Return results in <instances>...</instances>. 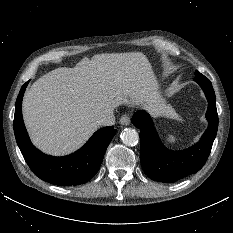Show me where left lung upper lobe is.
I'll return each instance as SVG.
<instances>
[{
    "label": "left lung upper lobe",
    "instance_id": "1",
    "mask_svg": "<svg viewBox=\"0 0 233 233\" xmlns=\"http://www.w3.org/2000/svg\"><path fill=\"white\" fill-rule=\"evenodd\" d=\"M208 78H206L204 75H202L201 73H199L198 71H195V78L194 80L197 82L198 80H207Z\"/></svg>",
    "mask_w": 233,
    "mask_h": 233
}]
</instances>
